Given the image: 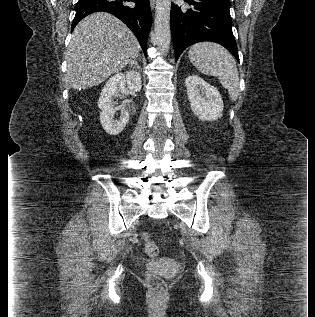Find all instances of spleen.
<instances>
[{"instance_id": "obj_1", "label": "spleen", "mask_w": 315, "mask_h": 317, "mask_svg": "<svg viewBox=\"0 0 315 317\" xmlns=\"http://www.w3.org/2000/svg\"><path fill=\"white\" fill-rule=\"evenodd\" d=\"M188 57L196 69L210 76L218 77L228 89L232 101L239 95V74L234 57L221 45L201 42L191 46Z\"/></svg>"}]
</instances>
